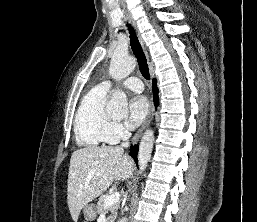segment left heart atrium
<instances>
[{
    "label": "left heart atrium",
    "mask_w": 257,
    "mask_h": 222,
    "mask_svg": "<svg viewBox=\"0 0 257 222\" xmlns=\"http://www.w3.org/2000/svg\"><path fill=\"white\" fill-rule=\"evenodd\" d=\"M149 112V103L146 97L138 95L129 102L128 125L135 128L140 125Z\"/></svg>",
    "instance_id": "left-heart-atrium-1"
}]
</instances>
